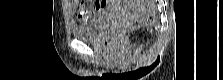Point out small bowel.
I'll return each instance as SVG.
<instances>
[{"instance_id":"small-bowel-1","label":"small bowel","mask_w":223,"mask_h":80,"mask_svg":"<svg viewBox=\"0 0 223 80\" xmlns=\"http://www.w3.org/2000/svg\"><path fill=\"white\" fill-rule=\"evenodd\" d=\"M112 6V2H97L92 7H89L85 3L72 2L74 14L83 21L99 17L102 13L110 10Z\"/></svg>"}]
</instances>
